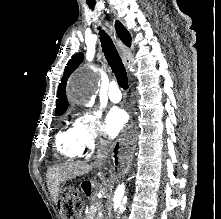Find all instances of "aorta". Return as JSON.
Returning <instances> with one entry per match:
<instances>
[{"mask_svg":"<svg viewBox=\"0 0 221 219\" xmlns=\"http://www.w3.org/2000/svg\"><path fill=\"white\" fill-rule=\"evenodd\" d=\"M96 89L95 80L89 75H78L73 81L71 95L80 101L88 102L90 101L92 95ZM124 184L120 185L116 191L114 198L115 207L119 208V213H122L125 210L126 196Z\"/></svg>","mask_w":221,"mask_h":219,"instance_id":"1","label":"aorta"}]
</instances>
